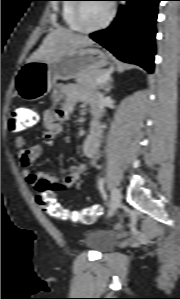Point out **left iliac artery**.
Instances as JSON below:
<instances>
[{
  "label": "left iliac artery",
  "mask_w": 180,
  "mask_h": 299,
  "mask_svg": "<svg viewBox=\"0 0 180 299\" xmlns=\"http://www.w3.org/2000/svg\"><path fill=\"white\" fill-rule=\"evenodd\" d=\"M98 187L104 197V199L106 200V194H105V191H104V178H100L99 181H98Z\"/></svg>",
  "instance_id": "left-iliac-artery-1"
}]
</instances>
